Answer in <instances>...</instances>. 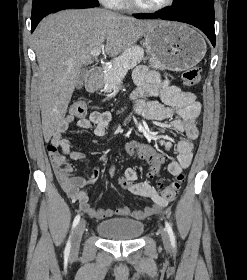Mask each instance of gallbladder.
<instances>
[{"instance_id":"1","label":"gallbladder","mask_w":247,"mask_h":280,"mask_svg":"<svg viewBox=\"0 0 247 280\" xmlns=\"http://www.w3.org/2000/svg\"><path fill=\"white\" fill-rule=\"evenodd\" d=\"M86 73H87V70H82L81 71V76H80V79L77 83V88L78 89L82 88Z\"/></svg>"}]
</instances>
